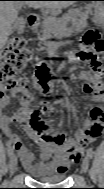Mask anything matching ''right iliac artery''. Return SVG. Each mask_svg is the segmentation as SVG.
<instances>
[{
    "mask_svg": "<svg viewBox=\"0 0 104 189\" xmlns=\"http://www.w3.org/2000/svg\"><path fill=\"white\" fill-rule=\"evenodd\" d=\"M7 153L9 156H11L14 153V149L12 147H9Z\"/></svg>",
    "mask_w": 104,
    "mask_h": 189,
    "instance_id": "obj_1",
    "label": "right iliac artery"
}]
</instances>
